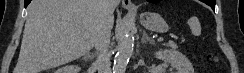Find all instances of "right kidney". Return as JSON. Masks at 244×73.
<instances>
[{"label":"right kidney","instance_id":"1","mask_svg":"<svg viewBox=\"0 0 244 73\" xmlns=\"http://www.w3.org/2000/svg\"><path fill=\"white\" fill-rule=\"evenodd\" d=\"M81 68L77 65H67L58 69L55 73H79Z\"/></svg>","mask_w":244,"mask_h":73}]
</instances>
